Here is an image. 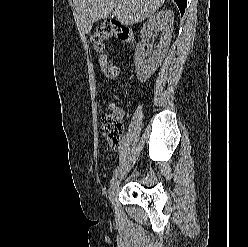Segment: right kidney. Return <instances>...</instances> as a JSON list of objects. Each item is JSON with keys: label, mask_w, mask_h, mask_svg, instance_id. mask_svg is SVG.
<instances>
[{"label": "right kidney", "mask_w": 248, "mask_h": 247, "mask_svg": "<svg viewBox=\"0 0 248 247\" xmlns=\"http://www.w3.org/2000/svg\"><path fill=\"white\" fill-rule=\"evenodd\" d=\"M174 14L170 10H161L146 21L140 32L141 41L136 47V75L140 82H145L157 70L164 59L172 38ZM154 32V34H153ZM159 35L158 45L152 57L146 60L145 46L151 37Z\"/></svg>", "instance_id": "obj_1"}]
</instances>
